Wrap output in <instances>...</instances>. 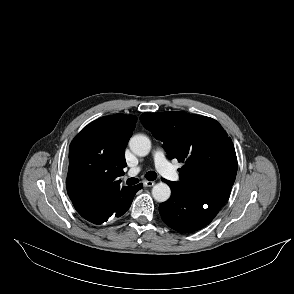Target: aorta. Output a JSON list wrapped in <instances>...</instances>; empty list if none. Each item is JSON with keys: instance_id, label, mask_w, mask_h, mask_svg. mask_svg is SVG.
<instances>
[{"instance_id": "aorta-1", "label": "aorta", "mask_w": 294, "mask_h": 294, "mask_svg": "<svg viewBox=\"0 0 294 294\" xmlns=\"http://www.w3.org/2000/svg\"><path fill=\"white\" fill-rule=\"evenodd\" d=\"M131 151L137 156H146L151 149V141L145 135H135L129 141ZM171 195L170 187L163 182L156 184L152 188V196L157 202H165Z\"/></svg>"}]
</instances>
